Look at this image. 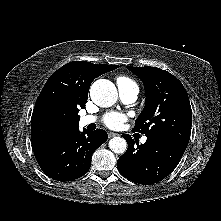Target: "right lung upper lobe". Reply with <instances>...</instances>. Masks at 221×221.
I'll list each match as a JSON object with an SVG mask.
<instances>
[{"label": "right lung upper lobe", "mask_w": 221, "mask_h": 221, "mask_svg": "<svg viewBox=\"0 0 221 221\" xmlns=\"http://www.w3.org/2000/svg\"><path fill=\"white\" fill-rule=\"evenodd\" d=\"M118 65L73 61L55 71L37 98L31 120L32 148L46 146L77 129L92 81Z\"/></svg>", "instance_id": "obj_1"}]
</instances>
